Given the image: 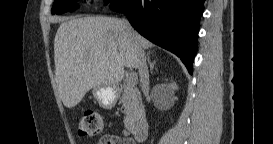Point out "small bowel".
<instances>
[{
  "instance_id": "c3829d8e",
  "label": "small bowel",
  "mask_w": 273,
  "mask_h": 144,
  "mask_svg": "<svg viewBox=\"0 0 273 144\" xmlns=\"http://www.w3.org/2000/svg\"><path fill=\"white\" fill-rule=\"evenodd\" d=\"M98 144H122V143H132L130 140L122 139L118 136L106 135L98 140Z\"/></svg>"
}]
</instances>
